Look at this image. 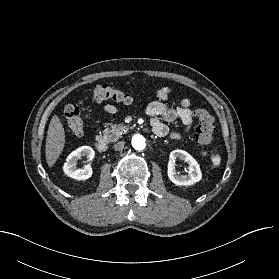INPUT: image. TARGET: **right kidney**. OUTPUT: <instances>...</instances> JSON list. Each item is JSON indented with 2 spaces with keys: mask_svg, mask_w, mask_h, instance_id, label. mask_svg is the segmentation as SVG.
Listing matches in <instances>:
<instances>
[{
  "mask_svg": "<svg viewBox=\"0 0 279 279\" xmlns=\"http://www.w3.org/2000/svg\"><path fill=\"white\" fill-rule=\"evenodd\" d=\"M95 152L90 146H82L69 154L63 166L64 173L76 180H87L92 176V167L90 164L83 168H77V160L83 156H87L89 160L94 158Z\"/></svg>",
  "mask_w": 279,
  "mask_h": 279,
  "instance_id": "obj_1",
  "label": "right kidney"
}]
</instances>
